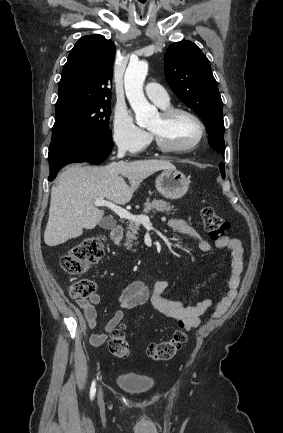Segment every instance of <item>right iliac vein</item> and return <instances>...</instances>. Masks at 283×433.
<instances>
[{
	"mask_svg": "<svg viewBox=\"0 0 283 433\" xmlns=\"http://www.w3.org/2000/svg\"><path fill=\"white\" fill-rule=\"evenodd\" d=\"M102 398H103V395H102V391L100 389L99 394H98V401L100 402L102 400Z\"/></svg>",
	"mask_w": 283,
	"mask_h": 433,
	"instance_id": "63e3f726",
	"label": "right iliac vein"
}]
</instances>
